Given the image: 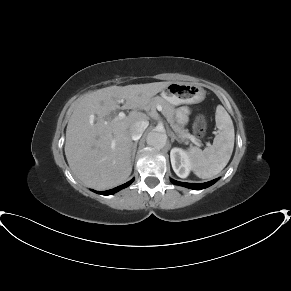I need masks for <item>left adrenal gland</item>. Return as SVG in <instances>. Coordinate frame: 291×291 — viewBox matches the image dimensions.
Instances as JSON below:
<instances>
[{
    "label": "left adrenal gland",
    "instance_id": "obj_1",
    "mask_svg": "<svg viewBox=\"0 0 291 291\" xmlns=\"http://www.w3.org/2000/svg\"><path fill=\"white\" fill-rule=\"evenodd\" d=\"M174 140H177L178 142H181V140L177 136H175V134L172 132L171 133V141L173 142Z\"/></svg>",
    "mask_w": 291,
    "mask_h": 291
}]
</instances>
